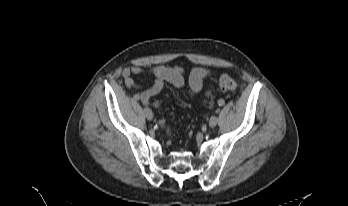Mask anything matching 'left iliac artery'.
Returning a JSON list of instances; mask_svg holds the SVG:
<instances>
[{
	"instance_id": "obj_1",
	"label": "left iliac artery",
	"mask_w": 348,
	"mask_h": 206,
	"mask_svg": "<svg viewBox=\"0 0 348 206\" xmlns=\"http://www.w3.org/2000/svg\"><path fill=\"white\" fill-rule=\"evenodd\" d=\"M224 104V101L223 100H218V105L219 106H222Z\"/></svg>"
}]
</instances>
